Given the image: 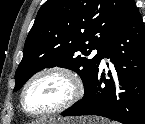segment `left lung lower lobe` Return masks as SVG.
<instances>
[{
    "label": "left lung lower lobe",
    "mask_w": 145,
    "mask_h": 124,
    "mask_svg": "<svg viewBox=\"0 0 145 124\" xmlns=\"http://www.w3.org/2000/svg\"><path fill=\"white\" fill-rule=\"evenodd\" d=\"M104 56L114 64L119 85L98 70L84 97L62 115H98L123 124H145V27L136 5ZM116 88L121 92L116 94Z\"/></svg>",
    "instance_id": "1"
}]
</instances>
